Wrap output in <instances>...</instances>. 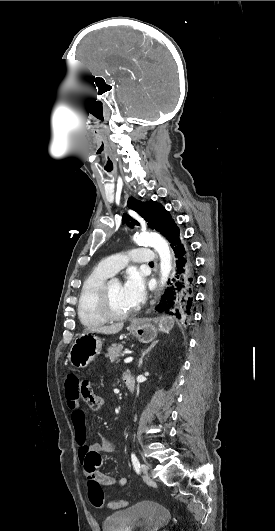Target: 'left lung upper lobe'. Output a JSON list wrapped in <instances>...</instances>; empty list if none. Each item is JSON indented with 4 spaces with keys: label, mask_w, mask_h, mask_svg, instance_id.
I'll return each mask as SVG.
<instances>
[{
    "label": "left lung upper lobe",
    "mask_w": 275,
    "mask_h": 531,
    "mask_svg": "<svg viewBox=\"0 0 275 531\" xmlns=\"http://www.w3.org/2000/svg\"><path fill=\"white\" fill-rule=\"evenodd\" d=\"M127 205L142 219H144L151 229H155L156 231L160 232L164 237L167 236L170 227L175 224L170 213L157 202H142L131 197L129 198ZM127 220H131L133 222L128 223V225L132 228L133 225H139L136 220H133L130 216L124 214L123 223H125Z\"/></svg>",
    "instance_id": "5c2ea615"
}]
</instances>
